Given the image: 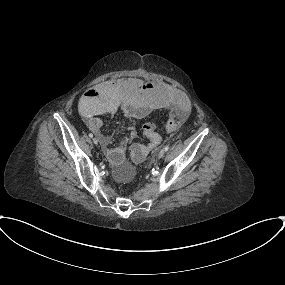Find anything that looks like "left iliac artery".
Returning <instances> with one entry per match:
<instances>
[{"mask_svg":"<svg viewBox=\"0 0 285 285\" xmlns=\"http://www.w3.org/2000/svg\"><path fill=\"white\" fill-rule=\"evenodd\" d=\"M164 149H165V151H168V150H169V145H166V146L164 147Z\"/></svg>","mask_w":285,"mask_h":285,"instance_id":"44dca946","label":"left iliac artery"}]
</instances>
